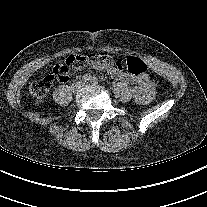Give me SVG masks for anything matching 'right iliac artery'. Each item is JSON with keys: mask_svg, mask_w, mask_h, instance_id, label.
<instances>
[{"mask_svg": "<svg viewBox=\"0 0 207 207\" xmlns=\"http://www.w3.org/2000/svg\"><path fill=\"white\" fill-rule=\"evenodd\" d=\"M91 78H92V77H91L90 74H85V75L83 76L82 80H83L84 82H87V81H90Z\"/></svg>", "mask_w": 207, "mask_h": 207, "instance_id": "right-iliac-artery-1", "label": "right iliac artery"}]
</instances>
